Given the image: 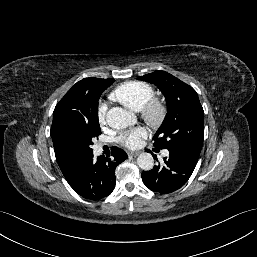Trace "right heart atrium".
Listing matches in <instances>:
<instances>
[{
    "instance_id": "1",
    "label": "right heart atrium",
    "mask_w": 257,
    "mask_h": 257,
    "mask_svg": "<svg viewBox=\"0 0 257 257\" xmlns=\"http://www.w3.org/2000/svg\"><path fill=\"white\" fill-rule=\"evenodd\" d=\"M107 107L105 104H101L99 107L98 119L101 124L105 123Z\"/></svg>"
}]
</instances>
